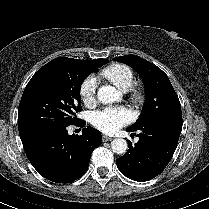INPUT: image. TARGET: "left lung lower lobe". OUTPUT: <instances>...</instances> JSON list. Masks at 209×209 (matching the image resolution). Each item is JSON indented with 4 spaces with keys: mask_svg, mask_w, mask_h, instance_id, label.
Here are the masks:
<instances>
[{
    "mask_svg": "<svg viewBox=\"0 0 209 209\" xmlns=\"http://www.w3.org/2000/svg\"><path fill=\"white\" fill-rule=\"evenodd\" d=\"M182 130L180 122H161L128 132L139 131V141L125 155L116 159L117 167L126 177L144 182L163 172L171 160ZM134 134V133H133Z\"/></svg>",
    "mask_w": 209,
    "mask_h": 209,
    "instance_id": "obj_1",
    "label": "left lung lower lobe"
}]
</instances>
